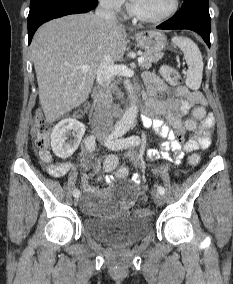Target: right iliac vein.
Returning <instances> with one entry per match:
<instances>
[{
	"label": "right iliac vein",
	"mask_w": 233,
	"mask_h": 284,
	"mask_svg": "<svg viewBox=\"0 0 233 284\" xmlns=\"http://www.w3.org/2000/svg\"><path fill=\"white\" fill-rule=\"evenodd\" d=\"M78 201H79V196H76L75 199H74V203L77 204Z\"/></svg>",
	"instance_id": "right-iliac-vein-1"
}]
</instances>
